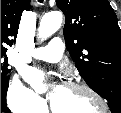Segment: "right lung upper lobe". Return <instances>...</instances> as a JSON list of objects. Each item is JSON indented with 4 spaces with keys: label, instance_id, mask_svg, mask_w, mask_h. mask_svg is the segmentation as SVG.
<instances>
[{
    "label": "right lung upper lobe",
    "instance_id": "obj_1",
    "mask_svg": "<svg viewBox=\"0 0 121 113\" xmlns=\"http://www.w3.org/2000/svg\"><path fill=\"white\" fill-rule=\"evenodd\" d=\"M23 9H30V0H1V52L15 43Z\"/></svg>",
    "mask_w": 121,
    "mask_h": 113
}]
</instances>
